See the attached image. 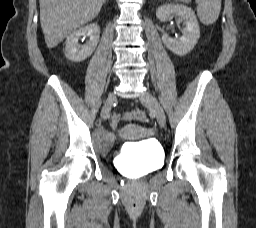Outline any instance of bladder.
Returning a JSON list of instances; mask_svg holds the SVG:
<instances>
[{"label": "bladder", "mask_w": 256, "mask_h": 228, "mask_svg": "<svg viewBox=\"0 0 256 228\" xmlns=\"http://www.w3.org/2000/svg\"><path fill=\"white\" fill-rule=\"evenodd\" d=\"M116 141L112 132H102L96 137V145L103 151L111 149ZM163 152L154 144L146 143L140 147L129 149L125 156L126 168L135 177L144 176L162 166Z\"/></svg>", "instance_id": "1"}]
</instances>
